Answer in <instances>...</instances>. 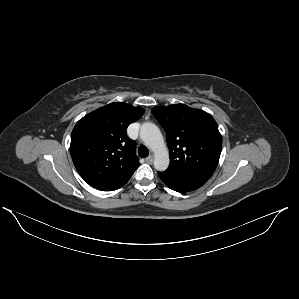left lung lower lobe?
<instances>
[{"instance_id":"left-lung-lower-lobe-1","label":"left lung lower lobe","mask_w":299,"mask_h":299,"mask_svg":"<svg viewBox=\"0 0 299 299\" xmlns=\"http://www.w3.org/2000/svg\"><path fill=\"white\" fill-rule=\"evenodd\" d=\"M158 176L170 189L180 193L196 190L208 181L202 177H173L164 172H158Z\"/></svg>"}]
</instances>
